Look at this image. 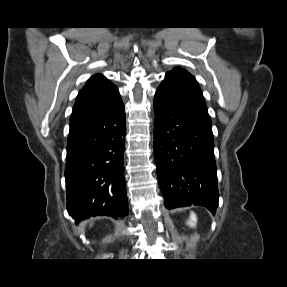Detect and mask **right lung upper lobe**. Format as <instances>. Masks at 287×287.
Wrapping results in <instances>:
<instances>
[{
	"label": "right lung upper lobe",
	"instance_id": "right-lung-upper-lobe-1",
	"mask_svg": "<svg viewBox=\"0 0 287 287\" xmlns=\"http://www.w3.org/2000/svg\"><path fill=\"white\" fill-rule=\"evenodd\" d=\"M120 99L117 87L103 75L96 74L79 92L70 119L104 111Z\"/></svg>",
	"mask_w": 287,
	"mask_h": 287
}]
</instances>
